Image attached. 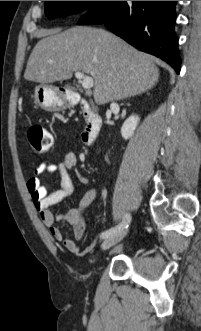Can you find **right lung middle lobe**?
<instances>
[{"mask_svg": "<svg viewBox=\"0 0 201 331\" xmlns=\"http://www.w3.org/2000/svg\"><path fill=\"white\" fill-rule=\"evenodd\" d=\"M99 1H45V13L49 18L87 12Z\"/></svg>", "mask_w": 201, "mask_h": 331, "instance_id": "dd1d6c3e", "label": "right lung middle lobe"}]
</instances>
